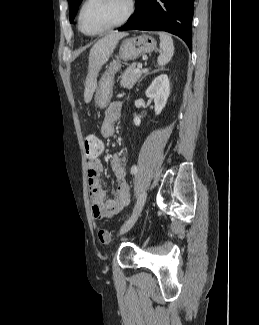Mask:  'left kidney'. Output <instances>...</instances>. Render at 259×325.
<instances>
[{
	"label": "left kidney",
	"mask_w": 259,
	"mask_h": 325,
	"mask_svg": "<svg viewBox=\"0 0 259 325\" xmlns=\"http://www.w3.org/2000/svg\"><path fill=\"white\" fill-rule=\"evenodd\" d=\"M145 94L148 98L154 100L155 114L159 115L162 112L163 108L165 107L167 103V99L170 95V81L168 79V76L162 74L156 77L151 83V85L148 87V89L146 90ZM140 123H141L140 118L137 115H135L134 124L136 126H139Z\"/></svg>",
	"instance_id": "1"
}]
</instances>
